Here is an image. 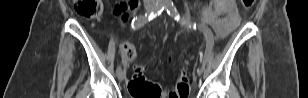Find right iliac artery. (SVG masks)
<instances>
[{
    "instance_id": "right-iliac-artery-1",
    "label": "right iliac artery",
    "mask_w": 308,
    "mask_h": 98,
    "mask_svg": "<svg viewBox=\"0 0 308 98\" xmlns=\"http://www.w3.org/2000/svg\"><path fill=\"white\" fill-rule=\"evenodd\" d=\"M165 8V3H157L155 9L151 12V13H146L145 15H140L136 18L133 19L132 24H131V28L133 30H137L139 28H141L142 26H144V24H146L147 22L151 21L152 19H154L156 16H159L162 11ZM119 71H121V67H118L116 70V73L118 74Z\"/></svg>"
}]
</instances>
